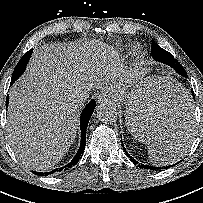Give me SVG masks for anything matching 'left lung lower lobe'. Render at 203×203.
<instances>
[{"label":"left lung lower lobe","instance_id":"0a47b994","mask_svg":"<svg viewBox=\"0 0 203 203\" xmlns=\"http://www.w3.org/2000/svg\"><path fill=\"white\" fill-rule=\"evenodd\" d=\"M152 56H153V58L155 59V61H159V62H161V63H163V64H166V65H168V66H170V67H172L178 74H180V75H182V76H184V77H187V73H186V71H183V67H182V65L174 58V56L171 54V53H169L168 51H166V50H164V49H157V50H155L154 52H153V54H152ZM192 96L194 97V92H193V90H192ZM136 108H137V106L135 107V109H134V111H133V116H142V115H144V112L142 113V112H140V111H136ZM140 110H141V108H140ZM142 110H143V108H142ZM183 111H184V113H183ZM182 111V113H181V115L180 116H182V118H183V120H182V128H181V133L180 134H178V135H176V137H174V138H172L171 140L174 142V143H176V144H179V145H181V146H186L187 145V142H184V140L188 137V135L187 134H190V131L188 132L186 129V121L188 122V118H190V117H188L187 116V114H188V112H185V110H183ZM147 113H148V111H147ZM189 116H191V114H188ZM145 119V118H144ZM190 138H191V135H190V137H189V140H190ZM123 149H124V151H125V153L128 155V157L132 160V162L134 163V164H137L138 162L136 161V160H134L129 154H128V152L125 150V148H124V146H123ZM179 163V162H178ZM178 163H176V164H178ZM139 167H141V168H144V169H150V170H156V169H161V167H156V166H149V165H144V164H139ZM169 167H171V165L169 166ZM164 168H168V166L167 167H164Z\"/></svg>","mask_w":203,"mask_h":203}]
</instances>
